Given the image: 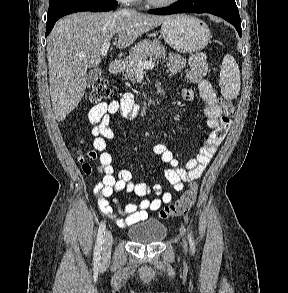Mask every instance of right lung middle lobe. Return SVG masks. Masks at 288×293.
<instances>
[{
  "mask_svg": "<svg viewBox=\"0 0 288 293\" xmlns=\"http://www.w3.org/2000/svg\"><path fill=\"white\" fill-rule=\"evenodd\" d=\"M95 3L100 5H114L118 4L116 0H50L49 2V9H48V15L52 14L59 9H62L66 6L77 4V3Z\"/></svg>",
  "mask_w": 288,
  "mask_h": 293,
  "instance_id": "dd1d6c3e",
  "label": "right lung middle lobe"
}]
</instances>
